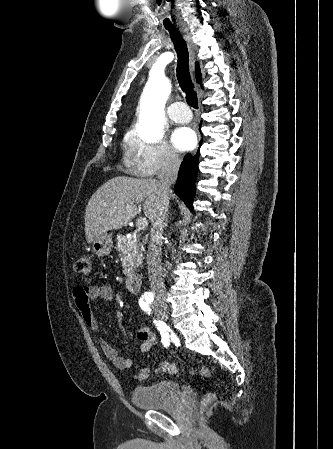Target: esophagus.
<instances>
[{
	"label": "esophagus",
	"instance_id": "1",
	"mask_svg": "<svg viewBox=\"0 0 333 449\" xmlns=\"http://www.w3.org/2000/svg\"><path fill=\"white\" fill-rule=\"evenodd\" d=\"M189 50H190V54H191V64H192V66H193V65H194L193 51H192L191 47H189Z\"/></svg>",
	"mask_w": 333,
	"mask_h": 449
}]
</instances>
